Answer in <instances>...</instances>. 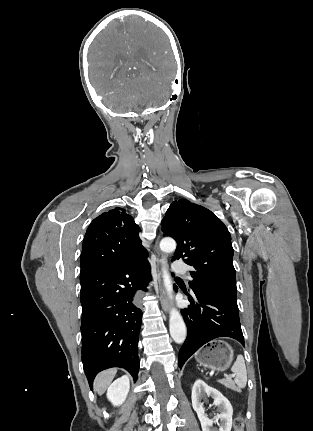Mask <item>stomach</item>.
I'll list each match as a JSON object with an SVG mask.
<instances>
[{"label":"stomach","instance_id":"obj_1","mask_svg":"<svg viewBox=\"0 0 313 431\" xmlns=\"http://www.w3.org/2000/svg\"><path fill=\"white\" fill-rule=\"evenodd\" d=\"M195 358L203 367L224 371L233 360V350L227 343L217 340L198 352Z\"/></svg>","mask_w":313,"mask_h":431}]
</instances>
